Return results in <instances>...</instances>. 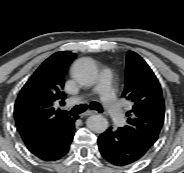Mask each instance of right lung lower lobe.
Listing matches in <instances>:
<instances>
[{
  "label": "right lung lower lobe",
  "instance_id": "1",
  "mask_svg": "<svg viewBox=\"0 0 184 173\" xmlns=\"http://www.w3.org/2000/svg\"><path fill=\"white\" fill-rule=\"evenodd\" d=\"M75 120L61 124L44 133L25 139L27 148L45 161L58 160L69 150L75 133Z\"/></svg>",
  "mask_w": 184,
  "mask_h": 173
}]
</instances>
